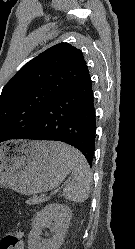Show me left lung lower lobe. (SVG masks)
I'll return each instance as SVG.
<instances>
[{
	"label": "left lung lower lobe",
	"mask_w": 135,
	"mask_h": 249,
	"mask_svg": "<svg viewBox=\"0 0 135 249\" xmlns=\"http://www.w3.org/2000/svg\"><path fill=\"white\" fill-rule=\"evenodd\" d=\"M96 114L90 75L41 112L36 126L18 139L55 140L76 147L92 165Z\"/></svg>",
	"instance_id": "obj_1"
}]
</instances>
